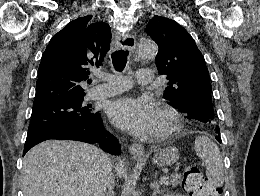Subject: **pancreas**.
<instances>
[{
    "mask_svg": "<svg viewBox=\"0 0 260 196\" xmlns=\"http://www.w3.org/2000/svg\"><path fill=\"white\" fill-rule=\"evenodd\" d=\"M181 182V174H172V176H168V180H166V184H171L172 188H176Z\"/></svg>",
    "mask_w": 260,
    "mask_h": 196,
    "instance_id": "1",
    "label": "pancreas"
}]
</instances>
